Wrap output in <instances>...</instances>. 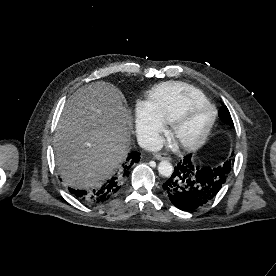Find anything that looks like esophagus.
I'll return each instance as SVG.
<instances>
[{"label":"esophagus","mask_w":276,"mask_h":276,"mask_svg":"<svg viewBox=\"0 0 276 276\" xmlns=\"http://www.w3.org/2000/svg\"><path fill=\"white\" fill-rule=\"evenodd\" d=\"M154 157L160 160H171L170 156L166 153H154Z\"/></svg>","instance_id":"obj_1"}]
</instances>
